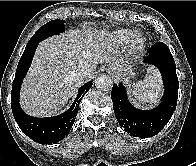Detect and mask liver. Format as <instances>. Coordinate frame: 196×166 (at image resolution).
Here are the masks:
<instances>
[{
    "label": "liver",
    "instance_id": "liver-1",
    "mask_svg": "<svg viewBox=\"0 0 196 166\" xmlns=\"http://www.w3.org/2000/svg\"><path fill=\"white\" fill-rule=\"evenodd\" d=\"M115 36L104 30L68 31L42 41L21 88V107L35 117L57 113L83 82L75 77L77 68L89 70L93 78L97 64L111 69L123 65L115 49Z\"/></svg>",
    "mask_w": 196,
    "mask_h": 166
}]
</instances>
